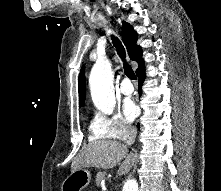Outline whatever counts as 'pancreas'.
Listing matches in <instances>:
<instances>
[{
	"label": "pancreas",
	"mask_w": 221,
	"mask_h": 191,
	"mask_svg": "<svg viewBox=\"0 0 221 191\" xmlns=\"http://www.w3.org/2000/svg\"><path fill=\"white\" fill-rule=\"evenodd\" d=\"M106 177V173L105 172H98L96 175V185L100 186L101 185V181Z\"/></svg>",
	"instance_id": "cf45deb5"
}]
</instances>
